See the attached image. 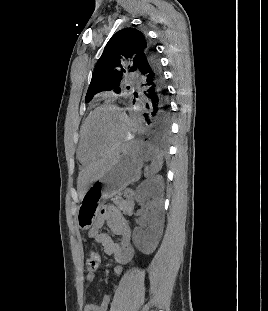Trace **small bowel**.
Instances as JSON below:
<instances>
[{"instance_id":"small-bowel-1","label":"small bowel","mask_w":268,"mask_h":311,"mask_svg":"<svg viewBox=\"0 0 268 311\" xmlns=\"http://www.w3.org/2000/svg\"><path fill=\"white\" fill-rule=\"evenodd\" d=\"M107 224L114 234L119 237L116 242L107 232L103 230ZM88 238L99 243L104 253L110 256L116 263L113 273L120 275L125 266H130L134 259V249L131 243V231L123 214L114 206L105 207L93 227L88 232ZM87 284L95 281V274L89 272L86 275ZM110 304V295L105 294L100 304L88 303L84 311H107Z\"/></svg>"}]
</instances>
